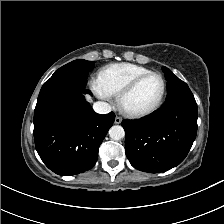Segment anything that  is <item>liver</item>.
I'll return each instance as SVG.
<instances>
[{"label": "liver", "mask_w": 224, "mask_h": 224, "mask_svg": "<svg viewBox=\"0 0 224 224\" xmlns=\"http://www.w3.org/2000/svg\"><path fill=\"white\" fill-rule=\"evenodd\" d=\"M86 100L91 102L92 98L89 95H86Z\"/></svg>", "instance_id": "6515ba94"}]
</instances>
